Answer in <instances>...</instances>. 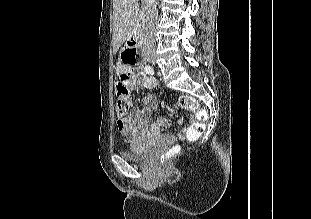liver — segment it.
Returning a JSON list of instances; mask_svg holds the SVG:
<instances>
[{"label": "liver", "instance_id": "liver-1", "mask_svg": "<svg viewBox=\"0 0 311 219\" xmlns=\"http://www.w3.org/2000/svg\"><path fill=\"white\" fill-rule=\"evenodd\" d=\"M138 0H113V52L129 39L137 21Z\"/></svg>", "mask_w": 311, "mask_h": 219}]
</instances>
